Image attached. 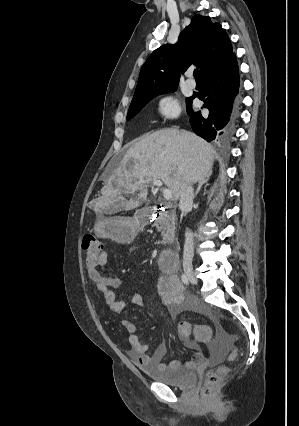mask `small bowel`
Instances as JSON below:
<instances>
[{"label": "small bowel", "instance_id": "small-bowel-1", "mask_svg": "<svg viewBox=\"0 0 299 426\" xmlns=\"http://www.w3.org/2000/svg\"><path fill=\"white\" fill-rule=\"evenodd\" d=\"M107 257L108 251L102 250L97 266L92 270L87 269L88 276L94 287L101 293L103 301L108 308L115 313H122L125 311L128 303L125 299H117L115 296L114 290L121 286V281L118 277L107 273L105 267ZM157 293L159 299L163 305L169 309L171 315H177L184 311H194L207 316L214 322L216 321L213 314L207 308L198 304L186 293L175 271L170 273L162 272L157 279ZM130 301L136 306L144 305L143 298L136 291L131 292ZM121 323L129 334V343L131 346L129 356L131 359L141 364L151 363L158 368L183 367L191 369L207 361L204 351L197 343L186 341V347L195 350L191 359L183 362L172 359L165 363L163 359L168 352L166 346H161L153 354H150L149 346L143 343L138 336V326L136 322L130 318H125L121 320Z\"/></svg>", "mask_w": 299, "mask_h": 426}]
</instances>
